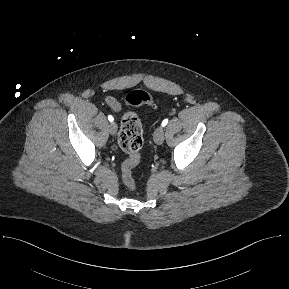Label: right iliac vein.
Wrapping results in <instances>:
<instances>
[{"label":"right iliac vein","instance_id":"1","mask_svg":"<svg viewBox=\"0 0 289 289\" xmlns=\"http://www.w3.org/2000/svg\"><path fill=\"white\" fill-rule=\"evenodd\" d=\"M104 120H107L106 115H103ZM117 130V126L115 124L110 125V132L114 134Z\"/></svg>","mask_w":289,"mask_h":289}]
</instances>
